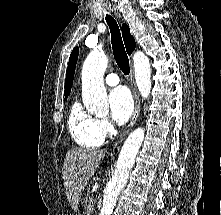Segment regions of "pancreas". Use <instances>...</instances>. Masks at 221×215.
Segmentation results:
<instances>
[{
    "instance_id": "cf45deb5",
    "label": "pancreas",
    "mask_w": 221,
    "mask_h": 215,
    "mask_svg": "<svg viewBox=\"0 0 221 215\" xmlns=\"http://www.w3.org/2000/svg\"><path fill=\"white\" fill-rule=\"evenodd\" d=\"M92 200V198L89 196V188L87 189V192L85 193V201H86V209L88 211L90 205L89 202Z\"/></svg>"
}]
</instances>
